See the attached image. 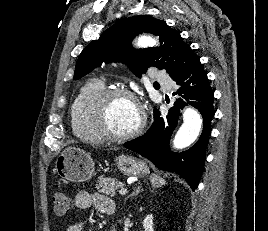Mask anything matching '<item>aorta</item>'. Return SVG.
Instances as JSON below:
<instances>
[{
	"mask_svg": "<svg viewBox=\"0 0 268 231\" xmlns=\"http://www.w3.org/2000/svg\"><path fill=\"white\" fill-rule=\"evenodd\" d=\"M157 41L148 36H142L138 39V47H148L157 45ZM202 127L200 114L192 109L186 108L183 112V124L177 131L173 140L176 149H183L190 146L199 136Z\"/></svg>",
	"mask_w": 268,
	"mask_h": 231,
	"instance_id": "aorta-1",
	"label": "aorta"
}]
</instances>
